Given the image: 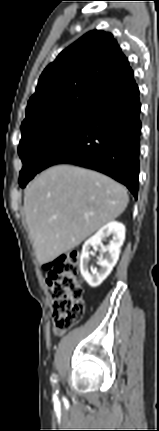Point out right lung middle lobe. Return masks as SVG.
Returning a JSON list of instances; mask_svg holds the SVG:
<instances>
[{"mask_svg":"<svg viewBox=\"0 0 159 431\" xmlns=\"http://www.w3.org/2000/svg\"><path fill=\"white\" fill-rule=\"evenodd\" d=\"M88 116L76 112H58L21 127L22 139L18 148L23 162L19 176L21 187L40 172L43 158L53 144Z\"/></svg>","mask_w":159,"mask_h":431,"instance_id":"obj_1","label":"right lung middle lobe"}]
</instances>
